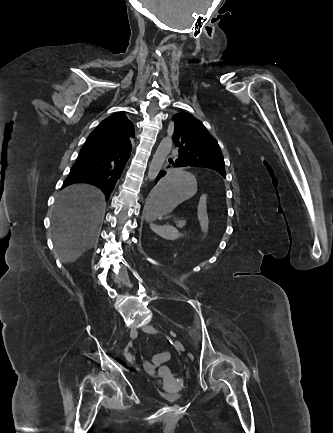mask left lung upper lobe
<instances>
[{"instance_id": "1", "label": "left lung upper lobe", "mask_w": 333, "mask_h": 433, "mask_svg": "<svg viewBox=\"0 0 333 433\" xmlns=\"http://www.w3.org/2000/svg\"><path fill=\"white\" fill-rule=\"evenodd\" d=\"M172 120L175 123L173 141L178 147L180 164L183 167L210 168L226 178L220 147L205 126L188 112H179Z\"/></svg>"}]
</instances>
